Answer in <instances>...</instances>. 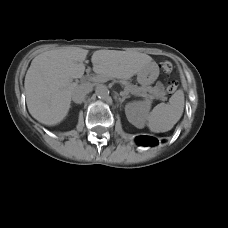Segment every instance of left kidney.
<instances>
[{"label":"left kidney","mask_w":228,"mask_h":228,"mask_svg":"<svg viewBox=\"0 0 228 228\" xmlns=\"http://www.w3.org/2000/svg\"><path fill=\"white\" fill-rule=\"evenodd\" d=\"M151 104L148 101H134L125 106V114L128 121L136 128L145 126Z\"/></svg>","instance_id":"5707ae66"}]
</instances>
